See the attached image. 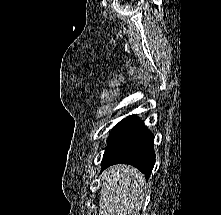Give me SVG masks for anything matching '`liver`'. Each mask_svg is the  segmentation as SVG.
Here are the masks:
<instances>
[{"label": "liver", "instance_id": "obj_1", "mask_svg": "<svg viewBox=\"0 0 221 215\" xmlns=\"http://www.w3.org/2000/svg\"><path fill=\"white\" fill-rule=\"evenodd\" d=\"M99 215H140L146 194L145 178L136 168L118 164L101 175Z\"/></svg>", "mask_w": 221, "mask_h": 215}]
</instances>
